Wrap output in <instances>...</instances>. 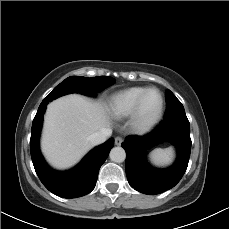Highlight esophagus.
<instances>
[{"label": "esophagus", "mask_w": 229, "mask_h": 229, "mask_svg": "<svg viewBox=\"0 0 229 229\" xmlns=\"http://www.w3.org/2000/svg\"><path fill=\"white\" fill-rule=\"evenodd\" d=\"M123 143L122 137H116L115 138V145L120 146Z\"/></svg>", "instance_id": "esophagus-1"}]
</instances>
